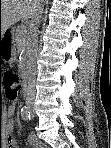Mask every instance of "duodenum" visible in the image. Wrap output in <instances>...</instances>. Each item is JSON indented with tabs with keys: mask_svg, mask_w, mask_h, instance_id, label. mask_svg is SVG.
I'll return each mask as SVG.
<instances>
[{
	"mask_svg": "<svg viewBox=\"0 0 111 148\" xmlns=\"http://www.w3.org/2000/svg\"><path fill=\"white\" fill-rule=\"evenodd\" d=\"M29 80H28V76L25 77V86H27Z\"/></svg>",
	"mask_w": 111,
	"mask_h": 148,
	"instance_id": "duodenum-1",
	"label": "duodenum"
}]
</instances>
